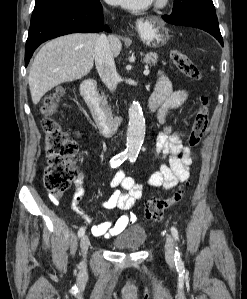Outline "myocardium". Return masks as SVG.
Returning a JSON list of instances; mask_svg holds the SVG:
<instances>
[{"label": "myocardium", "instance_id": "obj_1", "mask_svg": "<svg viewBox=\"0 0 247 299\" xmlns=\"http://www.w3.org/2000/svg\"><path fill=\"white\" fill-rule=\"evenodd\" d=\"M167 0H155V5L157 7H162L166 4Z\"/></svg>", "mask_w": 247, "mask_h": 299}]
</instances>
